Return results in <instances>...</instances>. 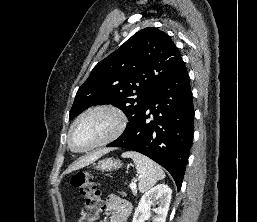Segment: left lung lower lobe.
I'll return each mask as SVG.
<instances>
[{"instance_id": "left-lung-lower-lobe-1", "label": "left lung lower lobe", "mask_w": 257, "mask_h": 222, "mask_svg": "<svg viewBox=\"0 0 257 222\" xmlns=\"http://www.w3.org/2000/svg\"><path fill=\"white\" fill-rule=\"evenodd\" d=\"M192 100L182 60L155 90L135 122L107 147H122L148 156L169 171L179 191L193 138Z\"/></svg>"}]
</instances>
